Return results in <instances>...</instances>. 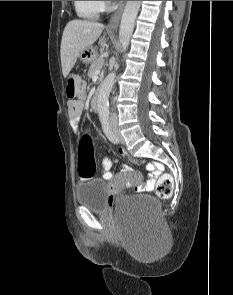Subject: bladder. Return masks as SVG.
<instances>
[{"instance_id":"1","label":"bladder","mask_w":233,"mask_h":295,"mask_svg":"<svg viewBox=\"0 0 233 295\" xmlns=\"http://www.w3.org/2000/svg\"><path fill=\"white\" fill-rule=\"evenodd\" d=\"M77 202L87 209L106 213L108 211V188L105 181L98 178H90L76 185ZM123 211L135 214L148 221L159 217V202L152 196L140 194L126 199L121 205Z\"/></svg>"}]
</instances>
